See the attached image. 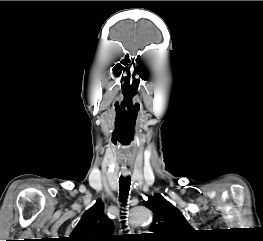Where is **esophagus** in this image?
I'll use <instances>...</instances> for the list:
<instances>
[{
    "mask_svg": "<svg viewBox=\"0 0 263 241\" xmlns=\"http://www.w3.org/2000/svg\"><path fill=\"white\" fill-rule=\"evenodd\" d=\"M123 175L126 177L128 176V172H124Z\"/></svg>",
    "mask_w": 263,
    "mask_h": 241,
    "instance_id": "1",
    "label": "esophagus"
}]
</instances>
